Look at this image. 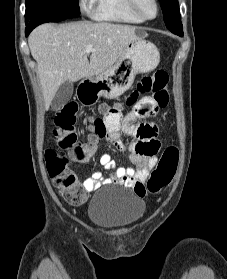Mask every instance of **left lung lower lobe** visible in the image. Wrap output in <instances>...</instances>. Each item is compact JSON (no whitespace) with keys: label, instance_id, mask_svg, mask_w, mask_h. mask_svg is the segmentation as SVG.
Wrapping results in <instances>:
<instances>
[{"label":"left lung lower lobe","instance_id":"obj_1","mask_svg":"<svg viewBox=\"0 0 227 279\" xmlns=\"http://www.w3.org/2000/svg\"><path fill=\"white\" fill-rule=\"evenodd\" d=\"M174 34H176V35H178V36H183V32H180V33H174Z\"/></svg>","mask_w":227,"mask_h":279}]
</instances>
